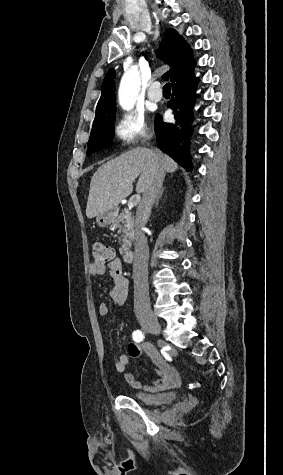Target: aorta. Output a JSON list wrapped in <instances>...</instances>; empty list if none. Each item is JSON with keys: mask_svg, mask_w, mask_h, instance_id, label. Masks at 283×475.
I'll list each match as a JSON object with an SVG mask.
<instances>
[{"mask_svg": "<svg viewBox=\"0 0 283 475\" xmlns=\"http://www.w3.org/2000/svg\"><path fill=\"white\" fill-rule=\"evenodd\" d=\"M140 84V76L135 67L124 73L118 91L119 104L122 109L129 111L134 107Z\"/></svg>", "mask_w": 283, "mask_h": 475, "instance_id": "1", "label": "aorta"}]
</instances>
